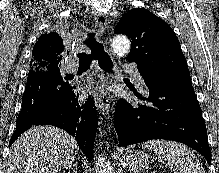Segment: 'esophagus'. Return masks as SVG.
<instances>
[{
    "mask_svg": "<svg viewBox=\"0 0 219 173\" xmlns=\"http://www.w3.org/2000/svg\"><path fill=\"white\" fill-rule=\"evenodd\" d=\"M95 24L97 27V31L99 34L105 32L107 27V17L105 14H96L95 15ZM109 93L106 89V82L105 80L99 81L97 85V93L95 97V103L97 104L100 112L102 115L106 116L107 118L110 117V102H109Z\"/></svg>",
    "mask_w": 219,
    "mask_h": 173,
    "instance_id": "esophagus-1",
    "label": "esophagus"
}]
</instances>
